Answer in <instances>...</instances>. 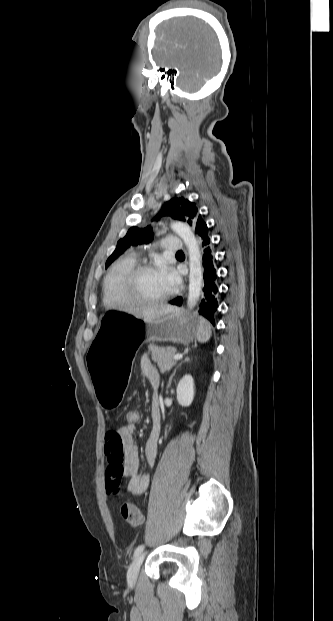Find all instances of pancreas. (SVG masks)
<instances>
[{
	"instance_id": "1",
	"label": "pancreas",
	"mask_w": 333,
	"mask_h": 621,
	"mask_svg": "<svg viewBox=\"0 0 333 621\" xmlns=\"http://www.w3.org/2000/svg\"><path fill=\"white\" fill-rule=\"evenodd\" d=\"M149 352L152 360L157 364L161 372L169 371L176 364V361L172 359L177 354V350L174 347L151 345Z\"/></svg>"
}]
</instances>
